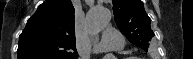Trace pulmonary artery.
I'll use <instances>...</instances> for the list:
<instances>
[{
	"label": "pulmonary artery",
	"instance_id": "pulmonary-artery-1",
	"mask_svg": "<svg viewBox=\"0 0 193 59\" xmlns=\"http://www.w3.org/2000/svg\"><path fill=\"white\" fill-rule=\"evenodd\" d=\"M123 47L122 35L114 30L112 27L108 26L104 28L102 40L93 49L94 53L100 52L104 48H112L115 50H120Z\"/></svg>",
	"mask_w": 193,
	"mask_h": 59
}]
</instances>
